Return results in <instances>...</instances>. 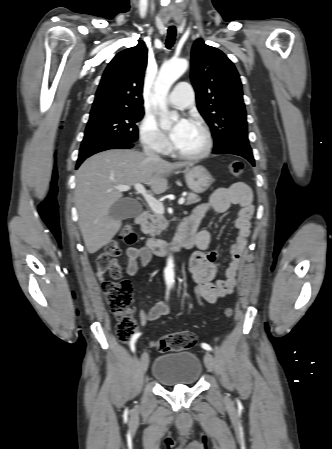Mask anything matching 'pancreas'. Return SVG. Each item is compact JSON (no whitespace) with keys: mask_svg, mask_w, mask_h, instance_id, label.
Returning a JSON list of instances; mask_svg holds the SVG:
<instances>
[{"mask_svg":"<svg viewBox=\"0 0 332 449\" xmlns=\"http://www.w3.org/2000/svg\"><path fill=\"white\" fill-rule=\"evenodd\" d=\"M200 201L198 195L194 193L187 194V205H191ZM149 220H146L141 223V231L144 234H148L151 237H155L160 235L163 230L168 227V221L163 216V214H158L155 212H151L147 215Z\"/></svg>","mask_w":332,"mask_h":449,"instance_id":"cf45deb5","label":"pancreas"}]
</instances>
